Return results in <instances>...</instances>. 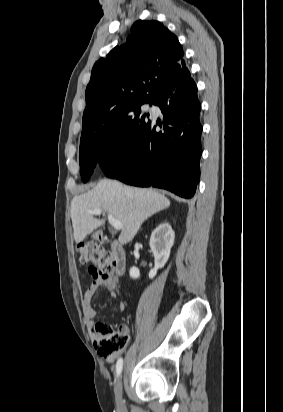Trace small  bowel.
<instances>
[{
  "instance_id": "obj_1",
  "label": "small bowel",
  "mask_w": 283,
  "mask_h": 412,
  "mask_svg": "<svg viewBox=\"0 0 283 412\" xmlns=\"http://www.w3.org/2000/svg\"><path fill=\"white\" fill-rule=\"evenodd\" d=\"M106 287L108 291L110 292V296L112 299L117 300L118 299V294L115 290V283L111 280H105L101 278H97L95 276H92V281L90 286L87 288L85 291L81 305H82V311L85 319L86 326L88 330L91 333V336L93 339H95V334L93 331L94 328V323H95V318H96V311L94 310L92 306V300L94 298V295L96 292L102 287ZM117 308L120 312L124 311L125 309V303L121 300H118L117 302ZM120 328H122L125 332H128V326L122 325ZM116 356H113L109 358V361H114Z\"/></svg>"
}]
</instances>
